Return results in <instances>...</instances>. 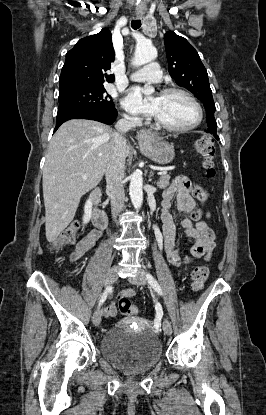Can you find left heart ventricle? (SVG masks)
Here are the masks:
<instances>
[{"label":"left heart ventricle","instance_id":"obj_1","mask_svg":"<svg viewBox=\"0 0 266 415\" xmlns=\"http://www.w3.org/2000/svg\"><path fill=\"white\" fill-rule=\"evenodd\" d=\"M156 98L158 100V111L155 116L162 123L174 127H184L196 120V109L185 96L161 94Z\"/></svg>","mask_w":266,"mask_h":415}]
</instances>
